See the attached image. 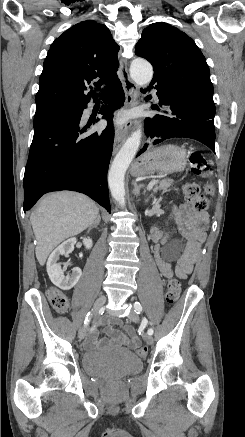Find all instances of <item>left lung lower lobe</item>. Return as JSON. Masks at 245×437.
<instances>
[{"label": "left lung lower lobe", "instance_id": "obj_1", "mask_svg": "<svg viewBox=\"0 0 245 437\" xmlns=\"http://www.w3.org/2000/svg\"><path fill=\"white\" fill-rule=\"evenodd\" d=\"M157 90L160 105L152 108L162 114L145 119V132L158 144L174 137L191 138L207 145L215 151L213 99L180 85L153 79L150 87ZM147 145L137 156L146 151Z\"/></svg>", "mask_w": 245, "mask_h": 437}]
</instances>
